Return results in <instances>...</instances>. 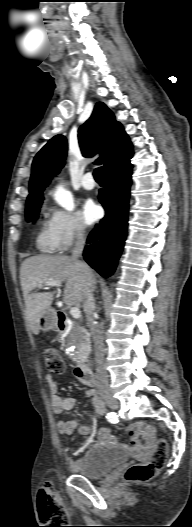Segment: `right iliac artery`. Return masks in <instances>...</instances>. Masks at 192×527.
Here are the masks:
<instances>
[{"label":"right iliac artery","mask_w":192,"mask_h":527,"mask_svg":"<svg viewBox=\"0 0 192 527\" xmlns=\"http://www.w3.org/2000/svg\"><path fill=\"white\" fill-rule=\"evenodd\" d=\"M106 418L111 423V426H117V422H118V425H121V422H119V421H121L122 416L119 413L114 414V416H113V413H109L106 416Z\"/></svg>","instance_id":"obj_1"}]
</instances>
